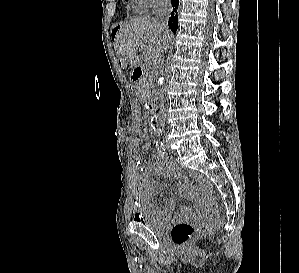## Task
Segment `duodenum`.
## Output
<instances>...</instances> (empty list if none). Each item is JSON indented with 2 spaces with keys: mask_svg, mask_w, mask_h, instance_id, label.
<instances>
[{
  "mask_svg": "<svg viewBox=\"0 0 299 273\" xmlns=\"http://www.w3.org/2000/svg\"><path fill=\"white\" fill-rule=\"evenodd\" d=\"M144 73H145L144 67H142V66L137 67L132 73V76H131L132 81L134 83H136L137 81H139L142 78ZM145 104H146L148 111H150V112L154 111V104L151 100H146Z\"/></svg>",
  "mask_w": 299,
  "mask_h": 273,
  "instance_id": "duodenum-1",
  "label": "duodenum"
}]
</instances>
